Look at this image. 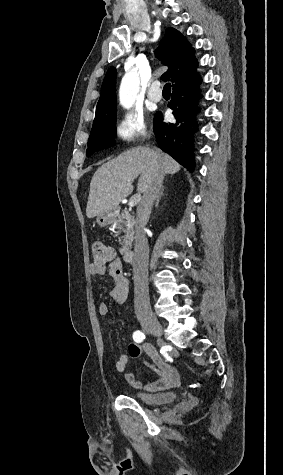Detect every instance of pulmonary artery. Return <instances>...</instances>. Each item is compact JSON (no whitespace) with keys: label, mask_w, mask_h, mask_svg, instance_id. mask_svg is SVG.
<instances>
[{"label":"pulmonary artery","mask_w":283,"mask_h":475,"mask_svg":"<svg viewBox=\"0 0 283 475\" xmlns=\"http://www.w3.org/2000/svg\"><path fill=\"white\" fill-rule=\"evenodd\" d=\"M161 84H154L152 83V88L148 93V98L153 102H159L161 100L160 97L163 94V89L160 87ZM121 90H140V89H121Z\"/></svg>","instance_id":"pulmonary-artery-1"}]
</instances>
